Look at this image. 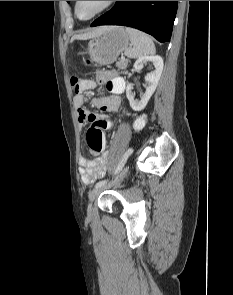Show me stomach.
Masks as SVG:
<instances>
[{
	"mask_svg": "<svg viewBox=\"0 0 233 295\" xmlns=\"http://www.w3.org/2000/svg\"><path fill=\"white\" fill-rule=\"evenodd\" d=\"M129 40L130 37L123 27L109 26L90 40L84 53L99 65L112 64L128 49Z\"/></svg>",
	"mask_w": 233,
	"mask_h": 295,
	"instance_id": "0dacf381",
	"label": "stomach"
}]
</instances>
